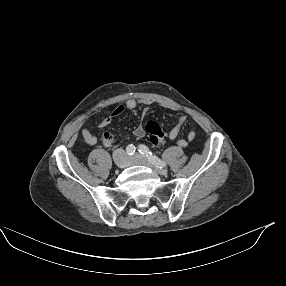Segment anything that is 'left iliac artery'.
Instances as JSON below:
<instances>
[{"instance_id": "obj_1", "label": "left iliac artery", "mask_w": 286, "mask_h": 286, "mask_svg": "<svg viewBox=\"0 0 286 286\" xmlns=\"http://www.w3.org/2000/svg\"><path fill=\"white\" fill-rule=\"evenodd\" d=\"M138 151L141 154L145 155L148 158V160L150 162H152L155 166H157V167L166 166V163L164 161H162L160 158L154 156L147 146L142 145V144L139 145Z\"/></svg>"}]
</instances>
